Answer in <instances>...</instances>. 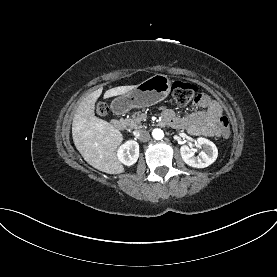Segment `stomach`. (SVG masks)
<instances>
[{
    "label": "stomach",
    "instance_id": "obj_1",
    "mask_svg": "<svg viewBox=\"0 0 277 277\" xmlns=\"http://www.w3.org/2000/svg\"><path fill=\"white\" fill-rule=\"evenodd\" d=\"M170 90L171 80L166 75L156 74L114 99L111 108L116 113H126L132 108L149 107L165 99Z\"/></svg>",
    "mask_w": 277,
    "mask_h": 277
}]
</instances>
